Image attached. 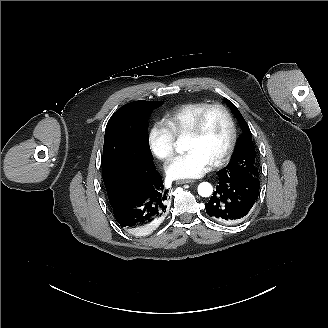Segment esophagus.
<instances>
[{"instance_id":"34e87169","label":"esophagus","mask_w":328,"mask_h":328,"mask_svg":"<svg viewBox=\"0 0 328 328\" xmlns=\"http://www.w3.org/2000/svg\"><path fill=\"white\" fill-rule=\"evenodd\" d=\"M194 179H179L176 181V184L181 185V184H186V183H194Z\"/></svg>"}]
</instances>
